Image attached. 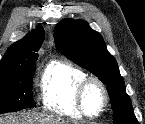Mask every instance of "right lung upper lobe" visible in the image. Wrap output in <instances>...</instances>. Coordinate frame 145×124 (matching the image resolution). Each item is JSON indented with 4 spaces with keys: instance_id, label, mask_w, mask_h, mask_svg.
<instances>
[{
    "instance_id": "obj_1",
    "label": "right lung upper lobe",
    "mask_w": 145,
    "mask_h": 124,
    "mask_svg": "<svg viewBox=\"0 0 145 124\" xmlns=\"http://www.w3.org/2000/svg\"><path fill=\"white\" fill-rule=\"evenodd\" d=\"M44 41V29L38 25L36 30L11 45L0 61V72L16 71L35 64Z\"/></svg>"
}]
</instances>
